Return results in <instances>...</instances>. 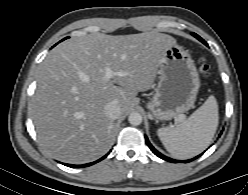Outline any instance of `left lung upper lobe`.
<instances>
[{"mask_svg": "<svg viewBox=\"0 0 248 195\" xmlns=\"http://www.w3.org/2000/svg\"><path fill=\"white\" fill-rule=\"evenodd\" d=\"M192 35H193L194 37H196L198 40H200L202 43L206 44V42H205L200 36H198L197 34L192 33Z\"/></svg>", "mask_w": 248, "mask_h": 195, "instance_id": "left-lung-upper-lobe-1", "label": "left lung upper lobe"}]
</instances>
